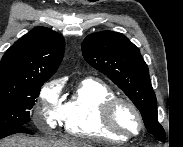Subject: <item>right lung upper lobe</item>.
I'll return each mask as SVG.
<instances>
[{
	"instance_id": "obj_1",
	"label": "right lung upper lobe",
	"mask_w": 183,
	"mask_h": 147,
	"mask_svg": "<svg viewBox=\"0 0 183 147\" xmlns=\"http://www.w3.org/2000/svg\"><path fill=\"white\" fill-rule=\"evenodd\" d=\"M65 49L63 37L45 27H37L20 38L2 57L0 85L48 80L57 70Z\"/></svg>"
}]
</instances>
